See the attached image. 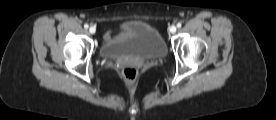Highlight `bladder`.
Returning <instances> with one entry per match:
<instances>
[{
  "label": "bladder",
  "mask_w": 276,
  "mask_h": 120,
  "mask_svg": "<svg viewBox=\"0 0 276 120\" xmlns=\"http://www.w3.org/2000/svg\"><path fill=\"white\" fill-rule=\"evenodd\" d=\"M167 46L161 33L141 20H126L119 26V34L106 39L100 46V54L106 58L134 55L162 58Z\"/></svg>",
  "instance_id": "bladder-1"
}]
</instances>
